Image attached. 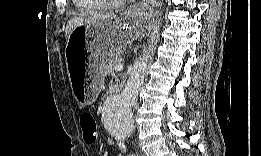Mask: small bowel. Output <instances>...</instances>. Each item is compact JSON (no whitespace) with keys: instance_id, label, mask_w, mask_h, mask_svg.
Wrapping results in <instances>:
<instances>
[{"instance_id":"small-bowel-1","label":"small bowel","mask_w":261,"mask_h":156,"mask_svg":"<svg viewBox=\"0 0 261 156\" xmlns=\"http://www.w3.org/2000/svg\"><path fill=\"white\" fill-rule=\"evenodd\" d=\"M123 82L124 80L122 78H117V79H114L112 82H111V88L113 87H117L118 85H123ZM110 144H112V142H110ZM121 154V153H120Z\"/></svg>"}]
</instances>
